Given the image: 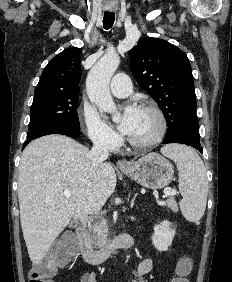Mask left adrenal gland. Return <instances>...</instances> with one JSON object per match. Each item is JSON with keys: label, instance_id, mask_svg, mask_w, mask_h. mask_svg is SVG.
I'll use <instances>...</instances> for the list:
<instances>
[{"label": "left adrenal gland", "instance_id": "obj_1", "mask_svg": "<svg viewBox=\"0 0 232 282\" xmlns=\"http://www.w3.org/2000/svg\"><path fill=\"white\" fill-rule=\"evenodd\" d=\"M134 201H135V197H134V198L132 199V201H131V207H133Z\"/></svg>", "mask_w": 232, "mask_h": 282}]
</instances>
